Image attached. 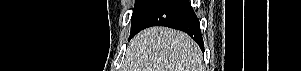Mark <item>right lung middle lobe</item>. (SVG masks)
<instances>
[{"label": "right lung middle lobe", "instance_id": "1", "mask_svg": "<svg viewBox=\"0 0 301 71\" xmlns=\"http://www.w3.org/2000/svg\"><path fill=\"white\" fill-rule=\"evenodd\" d=\"M159 0H136L133 8V14L131 18V33L137 29L142 22L147 12L158 2Z\"/></svg>", "mask_w": 301, "mask_h": 71}]
</instances>
